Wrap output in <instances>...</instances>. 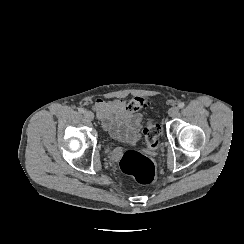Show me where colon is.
<instances>
[{
	"mask_svg": "<svg viewBox=\"0 0 244 244\" xmlns=\"http://www.w3.org/2000/svg\"><path fill=\"white\" fill-rule=\"evenodd\" d=\"M149 101L147 97H134L130 101V109L134 112L148 106ZM144 140L148 151H155L161 144L160 133L161 129L158 123L153 118H145L143 121ZM121 170L126 174L136 176V180L147 185L154 181L155 178V164L152 159L146 155L129 151L121 160Z\"/></svg>",
	"mask_w": 244,
	"mask_h": 244,
	"instance_id": "5ec220e1",
	"label": "colon"
}]
</instances>
